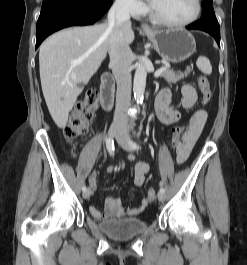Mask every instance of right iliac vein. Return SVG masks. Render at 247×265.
Returning <instances> with one entry per match:
<instances>
[{
	"label": "right iliac vein",
	"instance_id": "right-iliac-vein-1",
	"mask_svg": "<svg viewBox=\"0 0 247 265\" xmlns=\"http://www.w3.org/2000/svg\"><path fill=\"white\" fill-rule=\"evenodd\" d=\"M119 133H120V128L119 127H116V126H112L109 129L108 136L110 138H114ZM90 195H91V191L89 189L83 192V198L84 199H88L90 197Z\"/></svg>",
	"mask_w": 247,
	"mask_h": 265
}]
</instances>
